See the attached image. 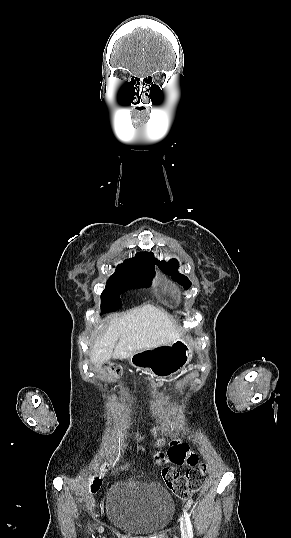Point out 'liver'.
Listing matches in <instances>:
<instances>
[{
	"label": "liver",
	"mask_w": 291,
	"mask_h": 538,
	"mask_svg": "<svg viewBox=\"0 0 291 538\" xmlns=\"http://www.w3.org/2000/svg\"><path fill=\"white\" fill-rule=\"evenodd\" d=\"M107 322L104 334L97 337L91 349L90 358L96 365L111 357L129 359L136 351L168 345L180 337V329L171 317L151 304L111 315Z\"/></svg>",
	"instance_id": "6515ba94"
}]
</instances>
